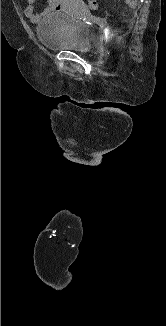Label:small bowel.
I'll list each match as a JSON object with an SVG mask.
<instances>
[{
    "label": "small bowel",
    "instance_id": "small-bowel-1",
    "mask_svg": "<svg viewBox=\"0 0 166 326\" xmlns=\"http://www.w3.org/2000/svg\"><path fill=\"white\" fill-rule=\"evenodd\" d=\"M27 6L24 10L26 17H28L31 21L37 22L41 19V17L47 13L58 11V10H67L73 4L74 0H45L46 6L42 12H37L35 10V3L37 0H26Z\"/></svg>",
    "mask_w": 166,
    "mask_h": 326
}]
</instances>
